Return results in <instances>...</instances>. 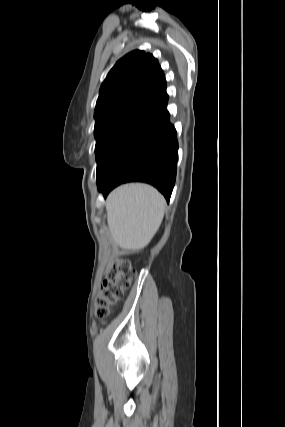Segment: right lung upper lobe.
I'll return each mask as SVG.
<instances>
[{"instance_id":"right-lung-upper-lobe-1","label":"right lung upper lobe","mask_w":285,"mask_h":427,"mask_svg":"<svg viewBox=\"0 0 285 427\" xmlns=\"http://www.w3.org/2000/svg\"><path fill=\"white\" fill-rule=\"evenodd\" d=\"M166 95L165 76L158 61L144 51L121 58L101 85L96 120L118 112H146Z\"/></svg>"}]
</instances>
